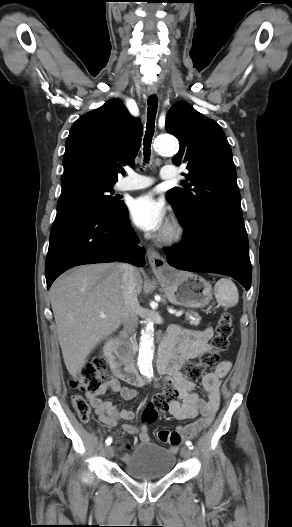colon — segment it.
Listing matches in <instances>:
<instances>
[{
    "label": "colon",
    "instance_id": "colon-1",
    "mask_svg": "<svg viewBox=\"0 0 292 527\" xmlns=\"http://www.w3.org/2000/svg\"><path fill=\"white\" fill-rule=\"evenodd\" d=\"M233 333V318L229 312L221 314L215 327V334L211 341V349L201 355L196 363H190L185 368V378L191 382L198 380L207 370L216 367L220 361V355L227 350L229 340ZM107 364L103 358H96L86 363L80 372L70 380L73 390L96 392L107 380ZM174 397L170 388L163 389L146 405L142 413L145 423H153L166 410L169 400ZM72 405L82 422H88L91 418V408L87 400L80 394L72 396ZM162 432V431H160ZM158 433V436L160 434ZM167 432V431H165ZM118 446L124 444L118 442Z\"/></svg>",
    "mask_w": 292,
    "mask_h": 527
}]
</instances>
